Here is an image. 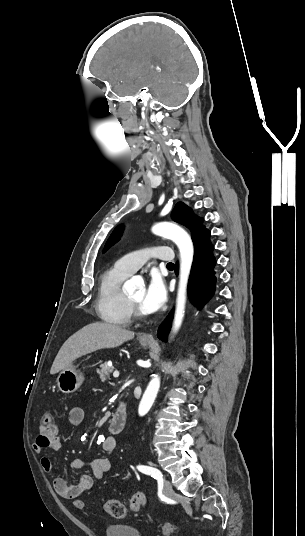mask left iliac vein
<instances>
[{
	"label": "left iliac vein",
	"instance_id": "1",
	"mask_svg": "<svg viewBox=\"0 0 305 536\" xmlns=\"http://www.w3.org/2000/svg\"><path fill=\"white\" fill-rule=\"evenodd\" d=\"M163 486H164L163 493H164L166 496H171V494L174 493L173 488H172V485H171V483H170L169 480L164 479Z\"/></svg>",
	"mask_w": 305,
	"mask_h": 536
}]
</instances>
